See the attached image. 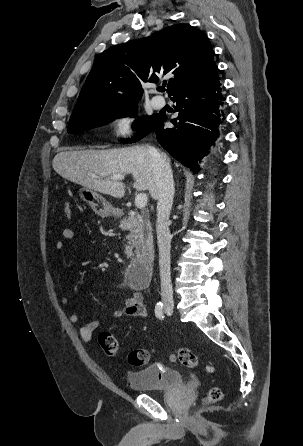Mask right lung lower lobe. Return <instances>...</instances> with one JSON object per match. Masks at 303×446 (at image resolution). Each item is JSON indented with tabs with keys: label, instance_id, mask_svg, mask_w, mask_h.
<instances>
[{
	"label": "right lung lower lobe",
	"instance_id": "98d812e1",
	"mask_svg": "<svg viewBox=\"0 0 303 446\" xmlns=\"http://www.w3.org/2000/svg\"><path fill=\"white\" fill-rule=\"evenodd\" d=\"M171 100L176 102L179 116L171 121L174 127L167 129L163 128L167 116H160L154 128L157 140L174 158L198 172V160L209 153L225 119L220 78L179 91Z\"/></svg>",
	"mask_w": 303,
	"mask_h": 446
}]
</instances>
